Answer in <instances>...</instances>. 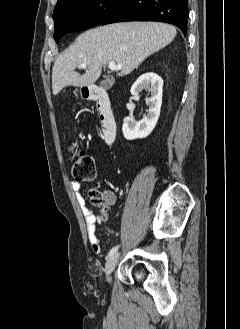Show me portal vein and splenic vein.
Here are the masks:
<instances>
[{"mask_svg": "<svg viewBox=\"0 0 240 329\" xmlns=\"http://www.w3.org/2000/svg\"><path fill=\"white\" fill-rule=\"evenodd\" d=\"M78 67L81 69H85L87 67V65L85 63H83V64H80ZM108 67L110 70L117 71V70L122 69L123 65L122 64L116 65L115 62H109Z\"/></svg>", "mask_w": 240, "mask_h": 329, "instance_id": "portal-vein-and-splenic-vein-1", "label": "portal vein and splenic vein"}]
</instances>
